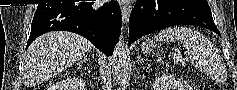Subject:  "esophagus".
<instances>
[{
    "label": "esophagus",
    "instance_id": "obj_1",
    "mask_svg": "<svg viewBox=\"0 0 237 90\" xmlns=\"http://www.w3.org/2000/svg\"><path fill=\"white\" fill-rule=\"evenodd\" d=\"M131 9H132L131 3H122L121 11H122L123 25L127 24L128 20H129L130 13H131Z\"/></svg>",
    "mask_w": 237,
    "mask_h": 90
}]
</instances>
